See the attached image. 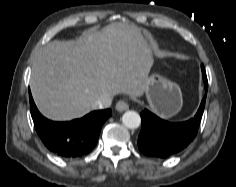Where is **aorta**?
Returning a JSON list of instances; mask_svg holds the SVG:
<instances>
[{"instance_id":"1","label":"aorta","mask_w":236,"mask_h":187,"mask_svg":"<svg viewBox=\"0 0 236 187\" xmlns=\"http://www.w3.org/2000/svg\"><path fill=\"white\" fill-rule=\"evenodd\" d=\"M122 122L127 128L136 129L141 124V118L135 111H126L122 116Z\"/></svg>"}]
</instances>
